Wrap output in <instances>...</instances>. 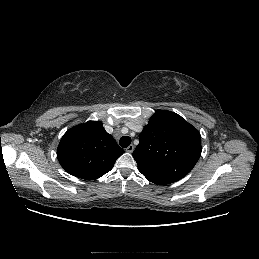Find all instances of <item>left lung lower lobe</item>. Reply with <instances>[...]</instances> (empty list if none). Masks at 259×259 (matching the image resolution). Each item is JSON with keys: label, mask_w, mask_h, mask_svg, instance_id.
<instances>
[{"label": "left lung lower lobe", "mask_w": 259, "mask_h": 259, "mask_svg": "<svg viewBox=\"0 0 259 259\" xmlns=\"http://www.w3.org/2000/svg\"><path fill=\"white\" fill-rule=\"evenodd\" d=\"M144 176H145L149 181H151V182H153V183H155V184H161V185L167 184V183L162 182V181H160V180L153 179V178H151V177H149V176H147V175H144Z\"/></svg>", "instance_id": "0a47b994"}]
</instances>
